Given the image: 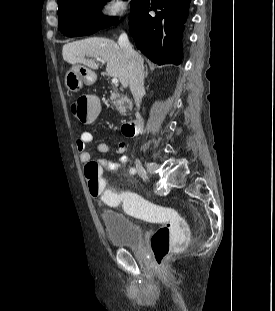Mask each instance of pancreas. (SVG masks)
<instances>
[{"mask_svg": "<svg viewBox=\"0 0 275 311\" xmlns=\"http://www.w3.org/2000/svg\"><path fill=\"white\" fill-rule=\"evenodd\" d=\"M113 105L122 114H126L127 110L131 108L130 100L127 96L120 95L117 91H111L110 97Z\"/></svg>", "mask_w": 275, "mask_h": 311, "instance_id": "pancreas-1", "label": "pancreas"}]
</instances>
